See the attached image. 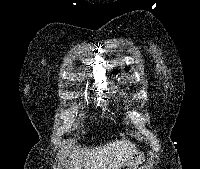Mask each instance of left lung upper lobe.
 <instances>
[{
	"mask_svg": "<svg viewBox=\"0 0 200 169\" xmlns=\"http://www.w3.org/2000/svg\"><path fill=\"white\" fill-rule=\"evenodd\" d=\"M112 73H116V74H117V73H118V70H115V71H114V72H112Z\"/></svg>",
	"mask_w": 200,
	"mask_h": 169,
	"instance_id": "1",
	"label": "left lung upper lobe"
}]
</instances>
